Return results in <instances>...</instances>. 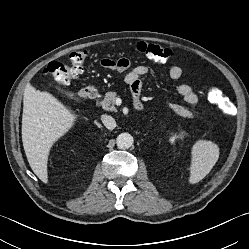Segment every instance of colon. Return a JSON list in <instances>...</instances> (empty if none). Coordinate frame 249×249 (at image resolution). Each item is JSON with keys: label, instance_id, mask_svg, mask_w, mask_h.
<instances>
[{"label": "colon", "instance_id": "obj_1", "mask_svg": "<svg viewBox=\"0 0 249 249\" xmlns=\"http://www.w3.org/2000/svg\"><path fill=\"white\" fill-rule=\"evenodd\" d=\"M137 51L146 58L158 63H166L173 58V52L170 49L146 42H139ZM87 56L88 54L84 50L74 51L69 55L68 63L52 62L44 69L43 74L50 77L55 83H68L83 73ZM105 63L108 66L113 65L115 67L122 65L118 60H107ZM207 96L211 103L216 104L226 114L227 101L219 88L210 87Z\"/></svg>", "mask_w": 249, "mask_h": 249}]
</instances>
